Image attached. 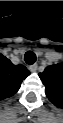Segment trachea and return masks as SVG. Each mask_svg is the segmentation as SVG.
<instances>
[{
	"instance_id": "obj_1",
	"label": "trachea",
	"mask_w": 63,
	"mask_h": 123,
	"mask_svg": "<svg viewBox=\"0 0 63 123\" xmlns=\"http://www.w3.org/2000/svg\"><path fill=\"white\" fill-rule=\"evenodd\" d=\"M24 60L28 65H33L36 62V55L33 51H27Z\"/></svg>"
}]
</instances>
